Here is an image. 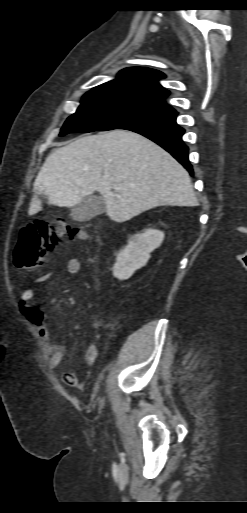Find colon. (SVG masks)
I'll return each mask as SVG.
<instances>
[{"mask_svg":"<svg viewBox=\"0 0 247 513\" xmlns=\"http://www.w3.org/2000/svg\"><path fill=\"white\" fill-rule=\"evenodd\" d=\"M85 234L62 219L38 220L24 225L18 234L12 258L18 269L42 266L64 240L83 239Z\"/></svg>","mask_w":247,"mask_h":513,"instance_id":"5ec220e1","label":"colon"}]
</instances>
